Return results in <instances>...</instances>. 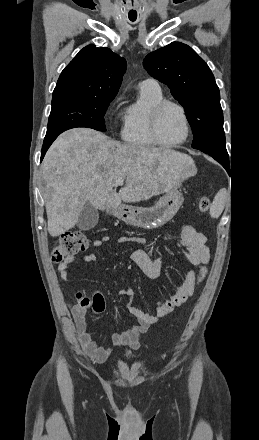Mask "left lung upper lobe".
<instances>
[{
  "mask_svg": "<svg viewBox=\"0 0 259 440\" xmlns=\"http://www.w3.org/2000/svg\"><path fill=\"white\" fill-rule=\"evenodd\" d=\"M143 64L184 107L194 135L192 147L225 148L219 88L205 61L188 45L172 42L148 54Z\"/></svg>",
  "mask_w": 259,
  "mask_h": 440,
  "instance_id": "left-lung-upper-lobe-1",
  "label": "left lung upper lobe"
}]
</instances>
